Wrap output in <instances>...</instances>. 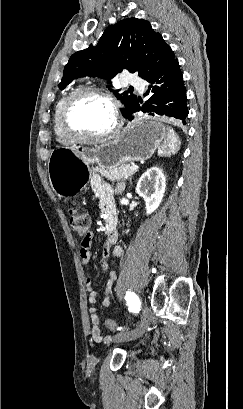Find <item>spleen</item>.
<instances>
[{
    "mask_svg": "<svg viewBox=\"0 0 243 409\" xmlns=\"http://www.w3.org/2000/svg\"><path fill=\"white\" fill-rule=\"evenodd\" d=\"M180 147L179 137L171 127H166L164 143L158 148L159 156H170L175 154Z\"/></svg>",
    "mask_w": 243,
    "mask_h": 409,
    "instance_id": "obj_1",
    "label": "spleen"
}]
</instances>
